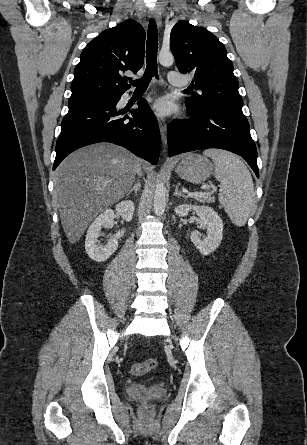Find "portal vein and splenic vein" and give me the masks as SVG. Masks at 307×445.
Returning a JSON list of instances; mask_svg holds the SVG:
<instances>
[{
	"label": "portal vein and splenic vein",
	"mask_w": 307,
	"mask_h": 445,
	"mask_svg": "<svg viewBox=\"0 0 307 445\" xmlns=\"http://www.w3.org/2000/svg\"><path fill=\"white\" fill-rule=\"evenodd\" d=\"M201 188H212L211 192H215V190H217V186H215V184H203ZM205 194H207V192H190L188 196H205Z\"/></svg>",
	"instance_id": "18ae733b"
}]
</instances>
